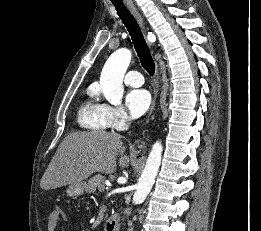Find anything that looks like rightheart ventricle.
Masks as SVG:
<instances>
[{
  "mask_svg": "<svg viewBox=\"0 0 261 231\" xmlns=\"http://www.w3.org/2000/svg\"><path fill=\"white\" fill-rule=\"evenodd\" d=\"M96 90L89 89V98L80 106L77 113L78 125L84 129L105 131L108 128L104 104L96 99Z\"/></svg>",
  "mask_w": 261,
  "mask_h": 231,
  "instance_id": "obj_1",
  "label": "right heart ventricle"
}]
</instances>
